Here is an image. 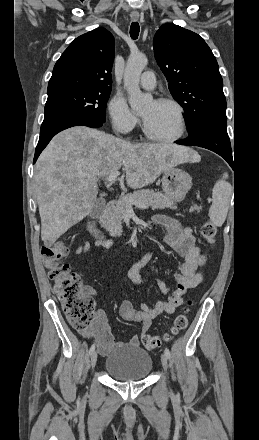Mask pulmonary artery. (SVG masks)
Here are the masks:
<instances>
[{"label":"pulmonary artery","instance_id":"obj_1","mask_svg":"<svg viewBox=\"0 0 259 440\" xmlns=\"http://www.w3.org/2000/svg\"><path fill=\"white\" fill-rule=\"evenodd\" d=\"M156 85L155 75L152 71H145L140 79V86L146 90L154 89Z\"/></svg>","mask_w":259,"mask_h":440}]
</instances>
